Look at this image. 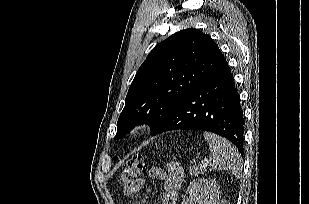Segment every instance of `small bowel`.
<instances>
[{
  "label": "small bowel",
  "instance_id": "small-bowel-1",
  "mask_svg": "<svg viewBox=\"0 0 309 204\" xmlns=\"http://www.w3.org/2000/svg\"><path fill=\"white\" fill-rule=\"evenodd\" d=\"M148 176L152 179L163 180L165 194L161 200V204H176L177 192L180 189L184 170L178 162H170L166 169L153 167L148 171ZM144 184V179H136L124 187V193L128 196L140 191Z\"/></svg>",
  "mask_w": 309,
  "mask_h": 204
}]
</instances>
